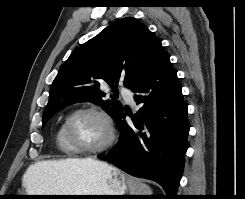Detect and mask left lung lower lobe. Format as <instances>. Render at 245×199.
Instances as JSON below:
<instances>
[{
	"mask_svg": "<svg viewBox=\"0 0 245 199\" xmlns=\"http://www.w3.org/2000/svg\"><path fill=\"white\" fill-rule=\"evenodd\" d=\"M137 104L132 124L126 110L115 119L121 131L113 150L99 156L130 175L159 183L173 199L182 177L189 122L177 72L163 49L148 72L131 88Z\"/></svg>",
	"mask_w": 245,
	"mask_h": 199,
	"instance_id": "0a47b994",
	"label": "left lung lower lobe"
}]
</instances>
